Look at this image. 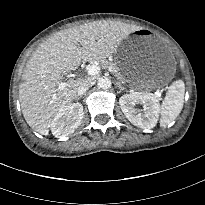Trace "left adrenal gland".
Here are the masks:
<instances>
[{"label":"left adrenal gland","mask_w":205,"mask_h":205,"mask_svg":"<svg viewBox=\"0 0 205 205\" xmlns=\"http://www.w3.org/2000/svg\"><path fill=\"white\" fill-rule=\"evenodd\" d=\"M116 85H117V87H118L121 91H123V90L125 89V88L121 85V83H119V82H117Z\"/></svg>","instance_id":"obj_1"}]
</instances>
